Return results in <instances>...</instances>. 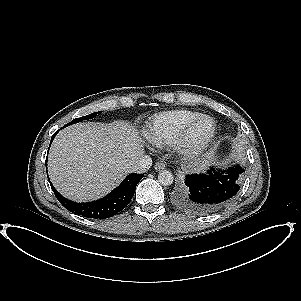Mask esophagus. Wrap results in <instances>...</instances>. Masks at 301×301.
<instances>
[{
	"instance_id": "obj_1",
	"label": "esophagus",
	"mask_w": 301,
	"mask_h": 301,
	"mask_svg": "<svg viewBox=\"0 0 301 301\" xmlns=\"http://www.w3.org/2000/svg\"><path fill=\"white\" fill-rule=\"evenodd\" d=\"M165 166H166L165 162H163L162 160H159L155 163L154 168L157 171H161V170L165 169Z\"/></svg>"
}]
</instances>
